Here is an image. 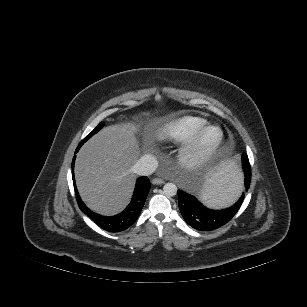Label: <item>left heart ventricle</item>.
Segmentation results:
<instances>
[{
  "mask_svg": "<svg viewBox=\"0 0 307 307\" xmlns=\"http://www.w3.org/2000/svg\"><path fill=\"white\" fill-rule=\"evenodd\" d=\"M215 137V133L214 132H209L206 137H205V143H209L213 140V138Z\"/></svg>",
  "mask_w": 307,
  "mask_h": 307,
  "instance_id": "1",
  "label": "left heart ventricle"
}]
</instances>
